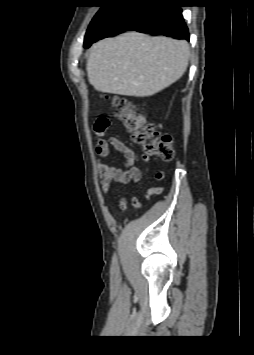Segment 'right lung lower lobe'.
Returning a JSON list of instances; mask_svg holds the SVG:
<instances>
[{"label":"right lung lower lobe","mask_w":254,"mask_h":355,"mask_svg":"<svg viewBox=\"0 0 254 355\" xmlns=\"http://www.w3.org/2000/svg\"><path fill=\"white\" fill-rule=\"evenodd\" d=\"M182 6L177 0H137L119 4L91 42L125 31L189 40V32L182 17Z\"/></svg>","instance_id":"obj_1"}]
</instances>
